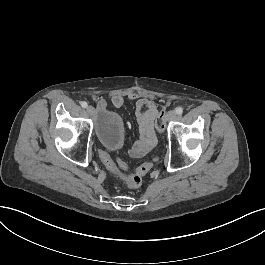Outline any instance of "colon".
Returning <instances> with one entry per match:
<instances>
[{"mask_svg":"<svg viewBox=\"0 0 265 265\" xmlns=\"http://www.w3.org/2000/svg\"><path fill=\"white\" fill-rule=\"evenodd\" d=\"M164 119H165V114L161 113L160 117H158L156 120V129L158 131H162L164 129V121H163ZM158 137L162 138L163 134L159 133ZM99 158H100L102 164L112 174H114L116 176V178L120 179L126 187L131 188V189L138 188L141 185L143 177L145 176V174H147L152 169L154 163L157 160V158L154 157L153 159L140 165L134 171L121 173V172H119V169H118L116 163L111 159V157L109 156V154L106 151L100 150L99 151ZM121 165L124 167L123 162H121Z\"/></svg>","mask_w":265,"mask_h":265,"instance_id":"5ec220e1","label":"colon"}]
</instances>
